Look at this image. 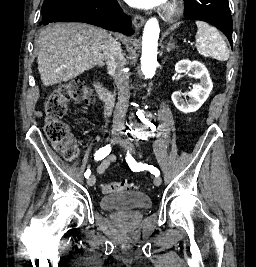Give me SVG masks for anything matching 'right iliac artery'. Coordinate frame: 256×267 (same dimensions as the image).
Segmentation results:
<instances>
[{"mask_svg": "<svg viewBox=\"0 0 256 267\" xmlns=\"http://www.w3.org/2000/svg\"><path fill=\"white\" fill-rule=\"evenodd\" d=\"M111 151V147L110 145H106L105 147L100 148L98 151H96L95 153V160H102L103 158H105ZM91 174L90 170H87L84 174L85 178H89Z\"/></svg>", "mask_w": 256, "mask_h": 267, "instance_id": "right-iliac-artery-1", "label": "right iliac artery"}]
</instances>
